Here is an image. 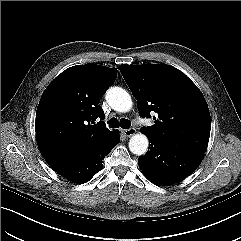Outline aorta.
Here are the masks:
<instances>
[{"label":"aorta","mask_w":241,"mask_h":241,"mask_svg":"<svg viewBox=\"0 0 241 241\" xmlns=\"http://www.w3.org/2000/svg\"><path fill=\"white\" fill-rule=\"evenodd\" d=\"M106 100L112 109L128 112L132 107L130 94L121 87H111L106 92ZM148 138L144 134H135L129 140V149L133 154L143 155L148 149Z\"/></svg>","instance_id":"762f6f07"}]
</instances>
